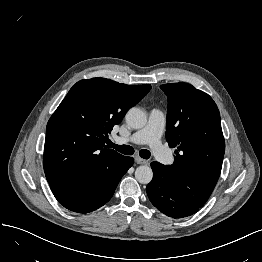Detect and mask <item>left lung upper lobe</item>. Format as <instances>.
<instances>
[{"label": "left lung upper lobe", "instance_id": "1", "mask_svg": "<svg viewBox=\"0 0 262 262\" xmlns=\"http://www.w3.org/2000/svg\"><path fill=\"white\" fill-rule=\"evenodd\" d=\"M160 87L168 97L166 139L176 148L174 163L165 166L168 181L202 207L218 181L225 152L219 110L190 84Z\"/></svg>", "mask_w": 262, "mask_h": 262}]
</instances>
